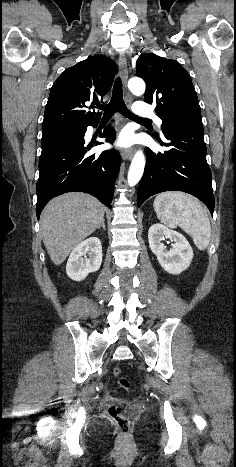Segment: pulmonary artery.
Masks as SVG:
<instances>
[{
  "label": "pulmonary artery",
  "mask_w": 236,
  "mask_h": 467,
  "mask_svg": "<svg viewBox=\"0 0 236 467\" xmlns=\"http://www.w3.org/2000/svg\"><path fill=\"white\" fill-rule=\"evenodd\" d=\"M133 112L138 117L155 119L158 126L161 127L162 120L154 114L153 108L149 104L137 102L133 107Z\"/></svg>",
  "instance_id": "obj_1"
}]
</instances>
